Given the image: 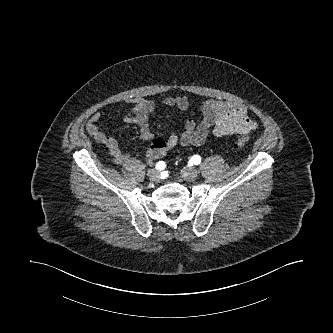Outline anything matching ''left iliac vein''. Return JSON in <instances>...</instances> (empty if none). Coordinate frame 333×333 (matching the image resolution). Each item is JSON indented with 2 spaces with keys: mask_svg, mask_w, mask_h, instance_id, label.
I'll list each match as a JSON object with an SVG mask.
<instances>
[{
  "mask_svg": "<svg viewBox=\"0 0 333 333\" xmlns=\"http://www.w3.org/2000/svg\"><path fill=\"white\" fill-rule=\"evenodd\" d=\"M181 175L187 181H194L198 176V171L194 167L183 168L181 170Z\"/></svg>",
  "mask_w": 333,
  "mask_h": 333,
  "instance_id": "4c4485c4",
  "label": "left iliac vein"
}]
</instances>
